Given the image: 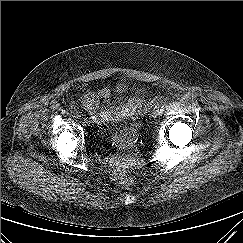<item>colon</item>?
<instances>
[{
	"label": "colon",
	"mask_w": 243,
	"mask_h": 243,
	"mask_svg": "<svg viewBox=\"0 0 243 243\" xmlns=\"http://www.w3.org/2000/svg\"><path fill=\"white\" fill-rule=\"evenodd\" d=\"M133 173L126 168H119L114 172V180L119 185H128L134 180Z\"/></svg>",
	"instance_id": "colon-1"
}]
</instances>
